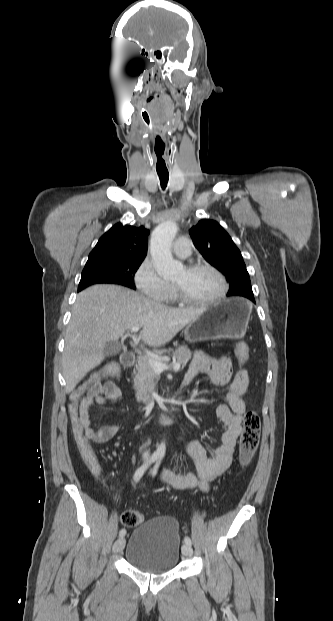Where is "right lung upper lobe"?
Wrapping results in <instances>:
<instances>
[{
	"label": "right lung upper lobe",
	"instance_id": "cb5924a9",
	"mask_svg": "<svg viewBox=\"0 0 333 621\" xmlns=\"http://www.w3.org/2000/svg\"><path fill=\"white\" fill-rule=\"evenodd\" d=\"M150 231L143 226L115 224L98 241L89 254L88 261L129 259L143 261L147 254V236Z\"/></svg>",
	"mask_w": 333,
	"mask_h": 621
}]
</instances>
